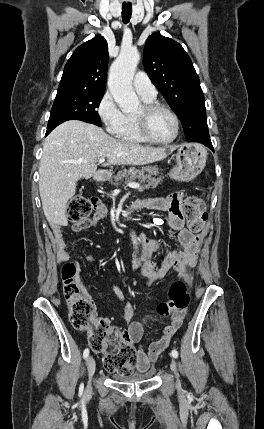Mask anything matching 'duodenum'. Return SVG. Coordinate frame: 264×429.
Returning <instances> with one entry per match:
<instances>
[{"label": "duodenum", "instance_id": "1", "mask_svg": "<svg viewBox=\"0 0 264 429\" xmlns=\"http://www.w3.org/2000/svg\"><path fill=\"white\" fill-rule=\"evenodd\" d=\"M93 179H94L95 181H100V180H102V179H103V174H102V173H95V174L93 175ZM138 209H140V206H137V205L132 206V208H131V209H129V210L126 212V216L128 217V216L133 215V213H134L135 211H137ZM142 259H143V255L139 258V260H142Z\"/></svg>", "mask_w": 264, "mask_h": 429}]
</instances>
